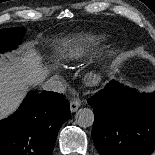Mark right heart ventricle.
Returning a JSON list of instances; mask_svg holds the SVG:
<instances>
[{
    "label": "right heart ventricle",
    "mask_w": 155,
    "mask_h": 155,
    "mask_svg": "<svg viewBox=\"0 0 155 155\" xmlns=\"http://www.w3.org/2000/svg\"><path fill=\"white\" fill-rule=\"evenodd\" d=\"M96 44L97 42H85L79 45H75L64 51L61 54V57L65 62L70 63L74 60L86 56Z\"/></svg>",
    "instance_id": "right-heart-ventricle-1"
}]
</instances>
